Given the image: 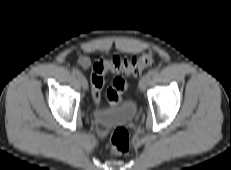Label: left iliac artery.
I'll return each instance as SVG.
<instances>
[{
	"label": "left iliac artery",
	"mask_w": 231,
	"mask_h": 170,
	"mask_svg": "<svg viewBox=\"0 0 231 170\" xmlns=\"http://www.w3.org/2000/svg\"><path fill=\"white\" fill-rule=\"evenodd\" d=\"M156 73H157V70H156V69H152V70H150V71L148 72V74H149L150 76H154V75H156Z\"/></svg>",
	"instance_id": "1"
}]
</instances>
